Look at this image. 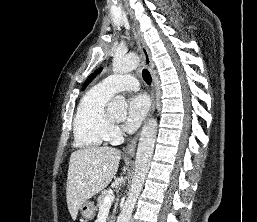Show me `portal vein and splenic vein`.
Here are the masks:
<instances>
[{"label":"portal vein and splenic vein","mask_w":257,"mask_h":222,"mask_svg":"<svg viewBox=\"0 0 257 222\" xmlns=\"http://www.w3.org/2000/svg\"><path fill=\"white\" fill-rule=\"evenodd\" d=\"M114 195H108L104 198V203L101 206V209L106 208V207H110L112 202L114 201Z\"/></svg>","instance_id":"portal-vein-and-splenic-vein-1"}]
</instances>
